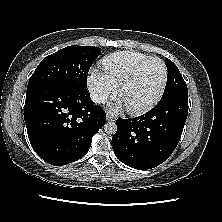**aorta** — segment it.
<instances>
[{"instance_id": "1", "label": "aorta", "mask_w": 222, "mask_h": 222, "mask_svg": "<svg viewBox=\"0 0 222 222\" xmlns=\"http://www.w3.org/2000/svg\"><path fill=\"white\" fill-rule=\"evenodd\" d=\"M104 130L106 133L108 134H115L116 131H117V125L116 123L114 122H107L105 125H104Z\"/></svg>"}]
</instances>
